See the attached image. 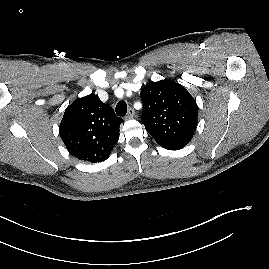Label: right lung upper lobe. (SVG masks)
Here are the masks:
<instances>
[{
	"label": "right lung upper lobe",
	"instance_id": "cb5924a9",
	"mask_svg": "<svg viewBox=\"0 0 269 269\" xmlns=\"http://www.w3.org/2000/svg\"><path fill=\"white\" fill-rule=\"evenodd\" d=\"M122 122L111 106L90 94L68 106L59 133L72 155L97 163L106 160L118 142Z\"/></svg>",
	"mask_w": 269,
	"mask_h": 269
}]
</instances>
